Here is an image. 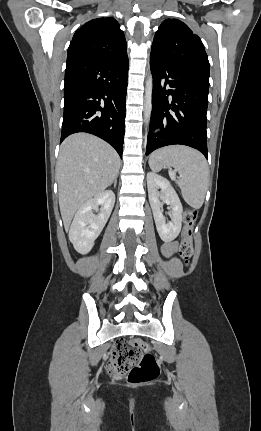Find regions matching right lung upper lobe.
I'll use <instances>...</instances> for the list:
<instances>
[{"label":"right lung upper lobe","instance_id":"obj_1","mask_svg":"<svg viewBox=\"0 0 261 431\" xmlns=\"http://www.w3.org/2000/svg\"><path fill=\"white\" fill-rule=\"evenodd\" d=\"M126 40L112 17L93 19L77 29L68 48L67 64L88 60H118L127 56Z\"/></svg>","mask_w":261,"mask_h":431}]
</instances>
